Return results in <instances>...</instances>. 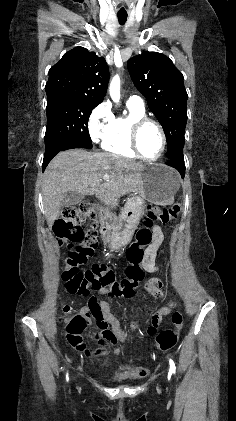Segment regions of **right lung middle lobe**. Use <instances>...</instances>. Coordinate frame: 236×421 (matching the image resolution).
<instances>
[{
    "instance_id": "1",
    "label": "right lung middle lobe",
    "mask_w": 236,
    "mask_h": 421,
    "mask_svg": "<svg viewBox=\"0 0 236 421\" xmlns=\"http://www.w3.org/2000/svg\"><path fill=\"white\" fill-rule=\"evenodd\" d=\"M100 102L67 94L47 95L45 149L61 141H72L91 149L88 119Z\"/></svg>"
}]
</instances>
